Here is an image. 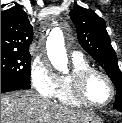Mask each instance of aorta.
I'll return each mask as SVG.
<instances>
[{"label": "aorta", "instance_id": "obj_1", "mask_svg": "<svg viewBox=\"0 0 122 123\" xmlns=\"http://www.w3.org/2000/svg\"><path fill=\"white\" fill-rule=\"evenodd\" d=\"M48 58L55 69L66 72L68 58L64 47L63 34L59 29L52 31L46 44Z\"/></svg>", "mask_w": 122, "mask_h": 123}]
</instances>
